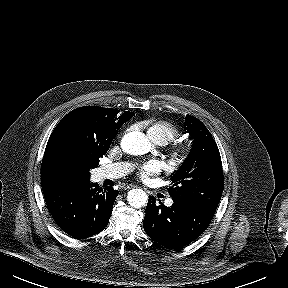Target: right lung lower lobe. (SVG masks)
<instances>
[{
    "mask_svg": "<svg viewBox=\"0 0 288 288\" xmlns=\"http://www.w3.org/2000/svg\"><path fill=\"white\" fill-rule=\"evenodd\" d=\"M117 195L118 191L112 187L103 190L90 181L44 191L53 219L76 239L98 234L108 225Z\"/></svg>",
    "mask_w": 288,
    "mask_h": 288,
    "instance_id": "98d812e1",
    "label": "right lung lower lobe"
}]
</instances>
